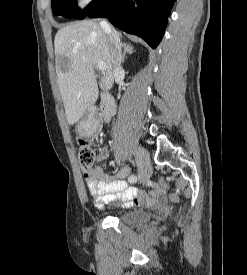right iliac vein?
Masks as SVG:
<instances>
[{
	"instance_id": "63e3f726",
	"label": "right iliac vein",
	"mask_w": 247,
	"mask_h": 275,
	"mask_svg": "<svg viewBox=\"0 0 247 275\" xmlns=\"http://www.w3.org/2000/svg\"><path fill=\"white\" fill-rule=\"evenodd\" d=\"M135 154L137 156V163L139 167V180L141 182L145 181L150 176L149 169V155L148 153L141 147L135 149Z\"/></svg>"
}]
</instances>
